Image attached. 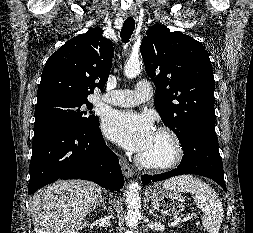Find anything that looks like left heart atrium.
Masks as SVG:
<instances>
[{"label":"left heart atrium","instance_id":"obj_1","mask_svg":"<svg viewBox=\"0 0 253 233\" xmlns=\"http://www.w3.org/2000/svg\"><path fill=\"white\" fill-rule=\"evenodd\" d=\"M104 134L123 148L142 153L155 135L153 121L147 114L112 111L102 121Z\"/></svg>","mask_w":253,"mask_h":233}]
</instances>
